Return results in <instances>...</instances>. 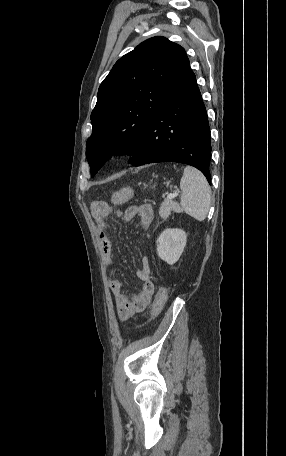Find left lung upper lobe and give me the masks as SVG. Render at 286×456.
I'll return each mask as SVG.
<instances>
[{"label":"left lung upper lobe","mask_w":286,"mask_h":456,"mask_svg":"<svg viewBox=\"0 0 286 456\" xmlns=\"http://www.w3.org/2000/svg\"><path fill=\"white\" fill-rule=\"evenodd\" d=\"M183 47L153 37L120 58L101 83L86 157L93 177L112 154H128L189 71Z\"/></svg>","instance_id":"obj_1"}]
</instances>
